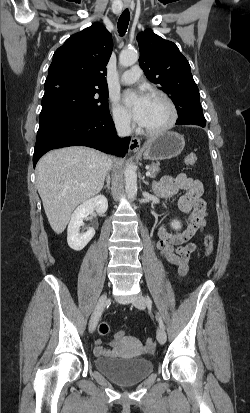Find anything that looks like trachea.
I'll list each match as a JSON object with an SVG mask.
<instances>
[{"label": "trachea", "instance_id": "obj_1", "mask_svg": "<svg viewBox=\"0 0 250 413\" xmlns=\"http://www.w3.org/2000/svg\"><path fill=\"white\" fill-rule=\"evenodd\" d=\"M129 10L126 9L123 11L121 14L119 20H118V32L121 34V36L126 32L128 24H129Z\"/></svg>", "mask_w": 250, "mask_h": 413}]
</instances>
